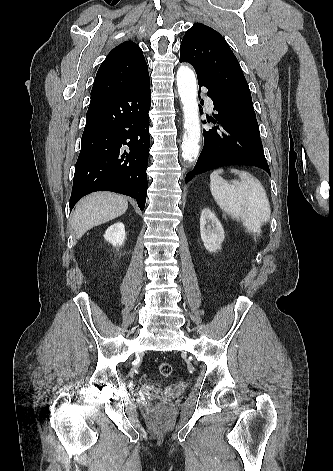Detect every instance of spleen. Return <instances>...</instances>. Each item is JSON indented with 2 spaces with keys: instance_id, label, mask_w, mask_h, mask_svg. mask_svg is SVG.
<instances>
[{
  "instance_id": "obj_1",
  "label": "spleen",
  "mask_w": 333,
  "mask_h": 471,
  "mask_svg": "<svg viewBox=\"0 0 333 471\" xmlns=\"http://www.w3.org/2000/svg\"><path fill=\"white\" fill-rule=\"evenodd\" d=\"M223 169L210 175V189L218 206L231 218L241 220L249 233L260 234L262 224L270 219V204L261 182L247 171L231 169L240 180L230 182L220 174Z\"/></svg>"
}]
</instances>
